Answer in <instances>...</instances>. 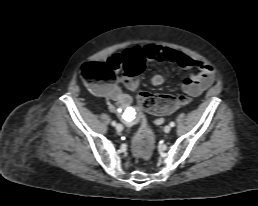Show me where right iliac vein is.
Masks as SVG:
<instances>
[{
  "label": "right iliac vein",
  "instance_id": "obj_1",
  "mask_svg": "<svg viewBox=\"0 0 258 206\" xmlns=\"http://www.w3.org/2000/svg\"><path fill=\"white\" fill-rule=\"evenodd\" d=\"M116 130L117 131H122L123 130V126L121 124H117L116 125Z\"/></svg>",
  "mask_w": 258,
  "mask_h": 206
}]
</instances>
